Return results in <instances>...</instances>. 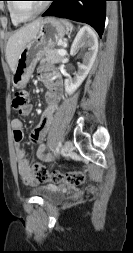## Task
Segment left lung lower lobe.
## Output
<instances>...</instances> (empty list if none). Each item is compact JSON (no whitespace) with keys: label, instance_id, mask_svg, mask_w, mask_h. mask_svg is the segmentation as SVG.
<instances>
[{"label":"left lung lower lobe","instance_id":"1","mask_svg":"<svg viewBox=\"0 0 133 253\" xmlns=\"http://www.w3.org/2000/svg\"><path fill=\"white\" fill-rule=\"evenodd\" d=\"M42 16H57L91 25L101 36L104 31L107 0H51Z\"/></svg>","mask_w":133,"mask_h":253}]
</instances>
